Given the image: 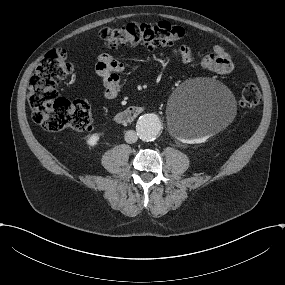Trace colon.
<instances>
[{
	"label": "colon",
	"instance_id": "5ec220e1",
	"mask_svg": "<svg viewBox=\"0 0 285 285\" xmlns=\"http://www.w3.org/2000/svg\"><path fill=\"white\" fill-rule=\"evenodd\" d=\"M99 36L106 47L115 49L125 44L163 46L183 39L187 32L181 26L160 21L154 24L130 23L116 28L106 27L100 30ZM73 72L74 66L67 61L66 52L57 48L45 55L30 78L27 99L32 118L47 131H85L92 125V111L87 102L69 101L58 94V83ZM260 101L258 86L247 84L241 93V105L254 108Z\"/></svg>",
	"mask_w": 285,
	"mask_h": 285
}]
</instances>
